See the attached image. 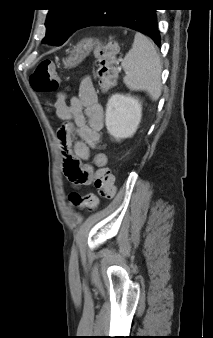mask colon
Returning <instances> with one entry per match:
<instances>
[{
  "label": "colon",
  "mask_w": 213,
  "mask_h": 338,
  "mask_svg": "<svg viewBox=\"0 0 213 338\" xmlns=\"http://www.w3.org/2000/svg\"><path fill=\"white\" fill-rule=\"evenodd\" d=\"M96 51V78L101 89L107 90L114 85L117 73L116 62L119 58V47L116 43H102L98 41L95 46ZM29 82L34 91L38 93H53L59 88V76L54 63L50 60L41 61L35 72L30 76ZM107 158L103 153H97L93 163L97 167L95 173V188L98 194L108 198L116 191L115 180L112 172L105 167ZM64 173L69 179H73L77 172L84 167L78 159L67 157L64 161ZM69 200L76 208L93 210L98 199L94 194L81 195L72 192Z\"/></svg>",
  "instance_id": "colon-1"
}]
</instances>
